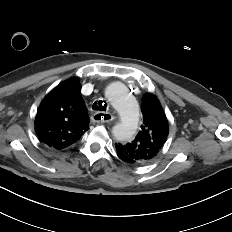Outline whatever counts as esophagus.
Returning <instances> with one entry per match:
<instances>
[{
    "mask_svg": "<svg viewBox=\"0 0 232 232\" xmlns=\"http://www.w3.org/2000/svg\"><path fill=\"white\" fill-rule=\"evenodd\" d=\"M113 115L108 112H96L92 116V120L96 123H107L113 120Z\"/></svg>",
    "mask_w": 232,
    "mask_h": 232,
    "instance_id": "34e87169",
    "label": "esophagus"
}]
</instances>
